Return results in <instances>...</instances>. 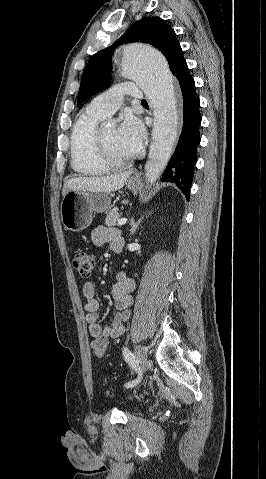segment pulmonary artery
I'll return each mask as SVG.
<instances>
[{
  "label": "pulmonary artery",
  "mask_w": 266,
  "mask_h": 479,
  "mask_svg": "<svg viewBox=\"0 0 266 479\" xmlns=\"http://www.w3.org/2000/svg\"><path fill=\"white\" fill-rule=\"evenodd\" d=\"M124 95L136 99L144 97V93L135 83L124 82L96 96L87 109L103 117H109L121 106Z\"/></svg>",
  "instance_id": "obj_1"
}]
</instances>
